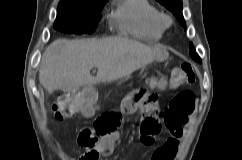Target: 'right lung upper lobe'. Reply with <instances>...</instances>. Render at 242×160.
<instances>
[{"mask_svg":"<svg viewBox=\"0 0 242 160\" xmlns=\"http://www.w3.org/2000/svg\"><path fill=\"white\" fill-rule=\"evenodd\" d=\"M61 1H77V2H85V1H90V0H61Z\"/></svg>","mask_w":242,"mask_h":160,"instance_id":"cb5924a9","label":"right lung upper lobe"}]
</instances>
